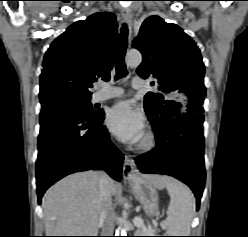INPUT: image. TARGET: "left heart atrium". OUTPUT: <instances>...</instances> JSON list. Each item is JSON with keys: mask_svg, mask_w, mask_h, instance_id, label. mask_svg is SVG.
<instances>
[{"mask_svg": "<svg viewBox=\"0 0 248 237\" xmlns=\"http://www.w3.org/2000/svg\"><path fill=\"white\" fill-rule=\"evenodd\" d=\"M106 125L114 135L126 143H136L144 136V116L129 101L118 102L109 109Z\"/></svg>", "mask_w": 248, "mask_h": 237, "instance_id": "39dd6f15", "label": "left heart atrium"}]
</instances>
